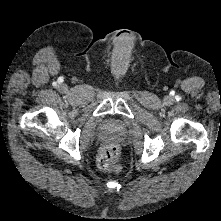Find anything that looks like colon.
I'll list each match as a JSON object with an SVG mask.
<instances>
[{"label":"colon","instance_id":"obj_1","mask_svg":"<svg viewBox=\"0 0 221 221\" xmlns=\"http://www.w3.org/2000/svg\"><path fill=\"white\" fill-rule=\"evenodd\" d=\"M98 167L104 171H117L119 167V148L117 145L104 147L97 158Z\"/></svg>","mask_w":221,"mask_h":221}]
</instances>
